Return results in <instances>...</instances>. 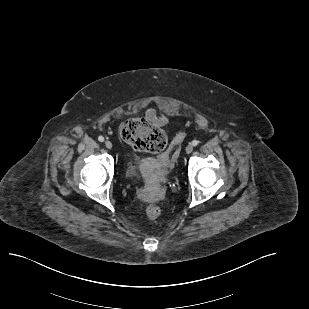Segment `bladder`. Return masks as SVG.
I'll use <instances>...</instances> for the list:
<instances>
[{
    "instance_id": "bladder-1",
    "label": "bladder",
    "mask_w": 309,
    "mask_h": 309,
    "mask_svg": "<svg viewBox=\"0 0 309 309\" xmlns=\"http://www.w3.org/2000/svg\"><path fill=\"white\" fill-rule=\"evenodd\" d=\"M125 176L128 179H139L140 172L138 168V164L132 158L128 159L126 166H125Z\"/></svg>"
}]
</instances>
